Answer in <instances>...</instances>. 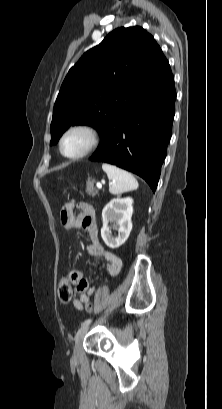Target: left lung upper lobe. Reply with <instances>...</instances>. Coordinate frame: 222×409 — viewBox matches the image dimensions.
Returning a JSON list of instances; mask_svg holds the SVG:
<instances>
[{
	"label": "left lung upper lobe",
	"instance_id": "1",
	"mask_svg": "<svg viewBox=\"0 0 222 409\" xmlns=\"http://www.w3.org/2000/svg\"><path fill=\"white\" fill-rule=\"evenodd\" d=\"M171 72L153 36L139 26L118 28L69 70L56 99L50 145L84 124L100 136L131 100Z\"/></svg>",
	"mask_w": 222,
	"mask_h": 409
}]
</instances>
